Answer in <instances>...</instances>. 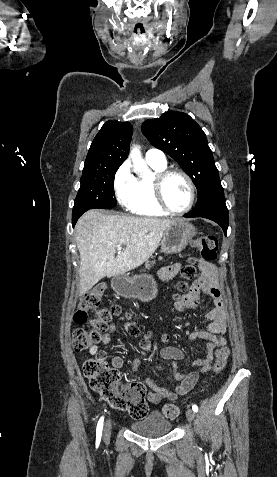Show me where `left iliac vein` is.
<instances>
[{"label": "left iliac vein", "instance_id": "obj_1", "mask_svg": "<svg viewBox=\"0 0 277 477\" xmlns=\"http://www.w3.org/2000/svg\"><path fill=\"white\" fill-rule=\"evenodd\" d=\"M186 417H187V419H188L189 422H192V421L195 419V413H194V411L191 410V409H188V410L186 411Z\"/></svg>", "mask_w": 277, "mask_h": 477}]
</instances>
